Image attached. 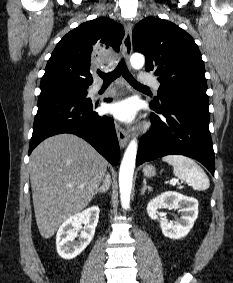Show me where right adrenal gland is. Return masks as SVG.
Listing matches in <instances>:
<instances>
[{
  "mask_svg": "<svg viewBox=\"0 0 233 283\" xmlns=\"http://www.w3.org/2000/svg\"><path fill=\"white\" fill-rule=\"evenodd\" d=\"M110 187V176L104 181L103 185L96 191L95 195L98 193H106Z\"/></svg>",
  "mask_w": 233,
  "mask_h": 283,
  "instance_id": "2a0ac1e0",
  "label": "right adrenal gland"
}]
</instances>
